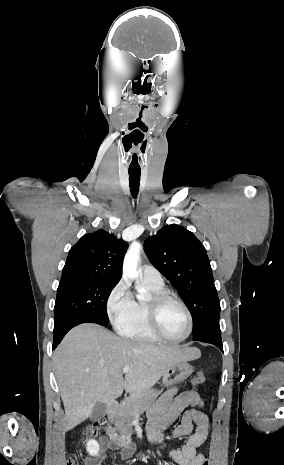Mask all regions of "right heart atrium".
Listing matches in <instances>:
<instances>
[{
	"label": "right heart atrium",
	"mask_w": 284,
	"mask_h": 465,
	"mask_svg": "<svg viewBox=\"0 0 284 465\" xmlns=\"http://www.w3.org/2000/svg\"><path fill=\"white\" fill-rule=\"evenodd\" d=\"M134 303L125 280L121 279L106 298L105 310L110 322L117 325L119 321L126 318Z\"/></svg>",
	"instance_id": "d8ad5b80"
}]
</instances>
